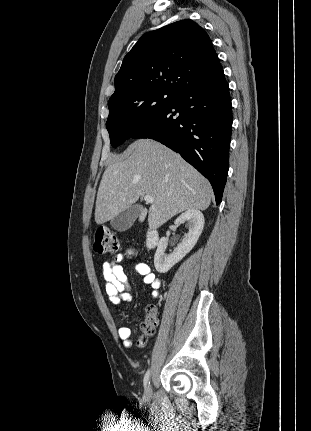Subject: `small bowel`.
I'll return each instance as SVG.
<instances>
[{
    "mask_svg": "<svg viewBox=\"0 0 311 431\" xmlns=\"http://www.w3.org/2000/svg\"><path fill=\"white\" fill-rule=\"evenodd\" d=\"M123 259L124 255L118 254L113 261H106L102 265L105 290L110 302L115 306L120 305L123 301L128 302L132 299L131 288L127 283V275L120 264ZM134 270L138 275L143 277L144 283L151 285V296L156 298L158 296L160 281L152 273L150 266L147 263L137 261ZM118 335L126 347L132 345L130 328L126 326L119 327Z\"/></svg>",
    "mask_w": 311,
    "mask_h": 431,
    "instance_id": "c3829d8e",
    "label": "small bowel"
}]
</instances>
